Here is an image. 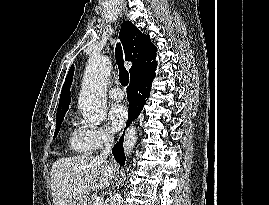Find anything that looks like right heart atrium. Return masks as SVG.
Segmentation results:
<instances>
[{
	"instance_id": "right-heart-atrium-1",
	"label": "right heart atrium",
	"mask_w": 269,
	"mask_h": 205,
	"mask_svg": "<svg viewBox=\"0 0 269 205\" xmlns=\"http://www.w3.org/2000/svg\"><path fill=\"white\" fill-rule=\"evenodd\" d=\"M80 136L91 151L102 149L113 141V135L105 128H80Z\"/></svg>"
}]
</instances>
